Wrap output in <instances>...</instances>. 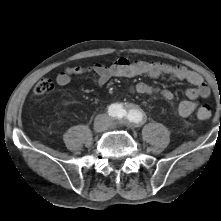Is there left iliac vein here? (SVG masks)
I'll return each mask as SVG.
<instances>
[{
    "label": "left iliac vein",
    "mask_w": 221,
    "mask_h": 221,
    "mask_svg": "<svg viewBox=\"0 0 221 221\" xmlns=\"http://www.w3.org/2000/svg\"><path fill=\"white\" fill-rule=\"evenodd\" d=\"M112 125H114V123L112 122V123H110V126H112ZM130 125H133V124H130Z\"/></svg>",
    "instance_id": "1"
}]
</instances>
